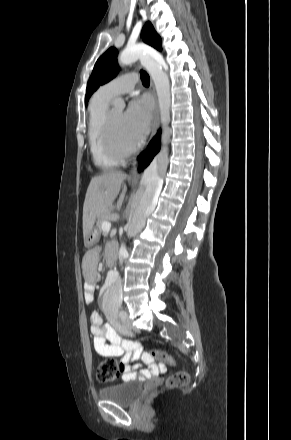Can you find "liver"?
Listing matches in <instances>:
<instances>
[{
  "mask_svg": "<svg viewBox=\"0 0 291 440\" xmlns=\"http://www.w3.org/2000/svg\"><path fill=\"white\" fill-rule=\"evenodd\" d=\"M126 179V174L120 171H107L91 179L83 205V235L84 238L92 231L99 214L112 206L118 196L121 184ZM127 187L124 186L116 208L120 209Z\"/></svg>",
  "mask_w": 291,
  "mask_h": 440,
  "instance_id": "liver-1",
  "label": "liver"
}]
</instances>
